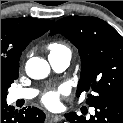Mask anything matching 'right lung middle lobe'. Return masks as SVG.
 I'll return each instance as SVG.
<instances>
[{"label": "right lung middle lobe", "instance_id": "1", "mask_svg": "<svg viewBox=\"0 0 123 123\" xmlns=\"http://www.w3.org/2000/svg\"><path fill=\"white\" fill-rule=\"evenodd\" d=\"M17 78V77H16ZM12 79L8 84L7 86L1 90V99H6V96H7V89L9 88V86L14 82V80L16 79Z\"/></svg>", "mask_w": 123, "mask_h": 123}]
</instances>
